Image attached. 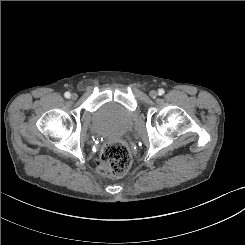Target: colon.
Masks as SVG:
<instances>
[{
  "mask_svg": "<svg viewBox=\"0 0 245 245\" xmlns=\"http://www.w3.org/2000/svg\"><path fill=\"white\" fill-rule=\"evenodd\" d=\"M131 166V155L127 146L119 140L108 142L102 149L98 170L105 176L122 177Z\"/></svg>",
  "mask_w": 245,
  "mask_h": 245,
  "instance_id": "colon-1",
  "label": "colon"
}]
</instances>
